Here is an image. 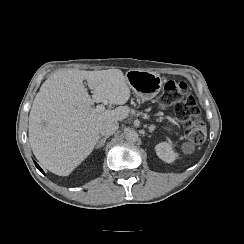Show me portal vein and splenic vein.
I'll return each instance as SVG.
<instances>
[{"label": "portal vein and splenic vein", "instance_id": "18ae733b", "mask_svg": "<svg viewBox=\"0 0 244 244\" xmlns=\"http://www.w3.org/2000/svg\"><path fill=\"white\" fill-rule=\"evenodd\" d=\"M105 110V107H103V106H97V108H96V111L97 112H101V111H104Z\"/></svg>", "mask_w": 244, "mask_h": 244}]
</instances>
